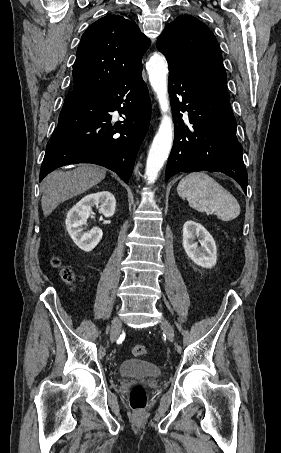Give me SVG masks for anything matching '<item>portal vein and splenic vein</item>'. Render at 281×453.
Returning a JSON list of instances; mask_svg holds the SVG:
<instances>
[{
	"mask_svg": "<svg viewBox=\"0 0 281 453\" xmlns=\"http://www.w3.org/2000/svg\"><path fill=\"white\" fill-rule=\"evenodd\" d=\"M204 212L207 214L208 217L212 214L211 212H209V210H205Z\"/></svg>",
	"mask_w": 281,
	"mask_h": 453,
	"instance_id": "portal-vein-and-splenic-vein-1",
	"label": "portal vein and splenic vein"
}]
</instances>
